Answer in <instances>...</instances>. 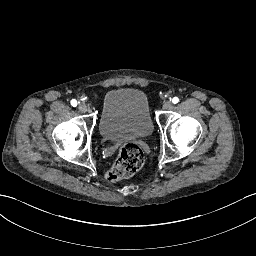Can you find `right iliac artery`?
I'll return each mask as SVG.
<instances>
[{"label":"right iliac artery","instance_id":"1","mask_svg":"<svg viewBox=\"0 0 256 256\" xmlns=\"http://www.w3.org/2000/svg\"><path fill=\"white\" fill-rule=\"evenodd\" d=\"M71 105L73 107H76L77 106V101L75 99L71 100Z\"/></svg>","mask_w":256,"mask_h":256}]
</instances>
